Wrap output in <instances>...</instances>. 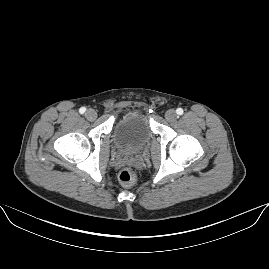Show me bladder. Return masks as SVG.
Segmentation results:
<instances>
[{"label":"bladder","mask_w":269,"mask_h":269,"mask_svg":"<svg viewBox=\"0 0 269 269\" xmlns=\"http://www.w3.org/2000/svg\"><path fill=\"white\" fill-rule=\"evenodd\" d=\"M111 136L121 153L135 155L150 137V119L142 112L129 111L114 121Z\"/></svg>","instance_id":"31cf9c89"}]
</instances>
